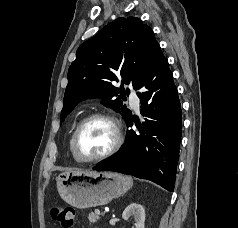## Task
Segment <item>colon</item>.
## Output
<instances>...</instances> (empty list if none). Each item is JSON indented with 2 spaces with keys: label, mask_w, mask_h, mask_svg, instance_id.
<instances>
[{
  "label": "colon",
  "mask_w": 238,
  "mask_h": 228,
  "mask_svg": "<svg viewBox=\"0 0 238 228\" xmlns=\"http://www.w3.org/2000/svg\"><path fill=\"white\" fill-rule=\"evenodd\" d=\"M51 217L62 228H72L75 219V209L70 206L54 207L51 210Z\"/></svg>",
  "instance_id": "5ec220e1"
}]
</instances>
